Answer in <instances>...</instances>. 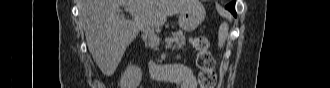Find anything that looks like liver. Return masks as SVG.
<instances>
[{"label":"liver","instance_id":"1","mask_svg":"<svg viewBox=\"0 0 330 88\" xmlns=\"http://www.w3.org/2000/svg\"><path fill=\"white\" fill-rule=\"evenodd\" d=\"M192 0H81L80 20L88 49L106 76L117 69L126 48L141 28L136 21L119 14V6L140 11L151 27L162 26L167 17L185 11Z\"/></svg>","mask_w":330,"mask_h":88}]
</instances>
